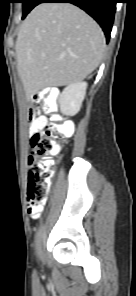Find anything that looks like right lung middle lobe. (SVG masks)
Returning <instances> with one entry per match:
<instances>
[{
  "label": "right lung middle lobe",
  "mask_w": 136,
  "mask_h": 296,
  "mask_svg": "<svg viewBox=\"0 0 136 296\" xmlns=\"http://www.w3.org/2000/svg\"><path fill=\"white\" fill-rule=\"evenodd\" d=\"M23 3V17L24 19L26 15L36 6L39 4V0H21Z\"/></svg>",
  "instance_id": "obj_1"
}]
</instances>
